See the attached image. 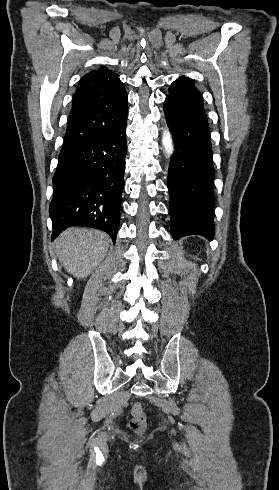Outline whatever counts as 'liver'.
I'll return each instance as SVG.
<instances>
[{
    "mask_svg": "<svg viewBox=\"0 0 279 490\" xmlns=\"http://www.w3.org/2000/svg\"><path fill=\"white\" fill-rule=\"evenodd\" d=\"M111 240L105 232L68 228L55 242L57 258L77 280L90 276L104 260Z\"/></svg>",
    "mask_w": 279,
    "mask_h": 490,
    "instance_id": "6515ba94",
    "label": "liver"
}]
</instances>
